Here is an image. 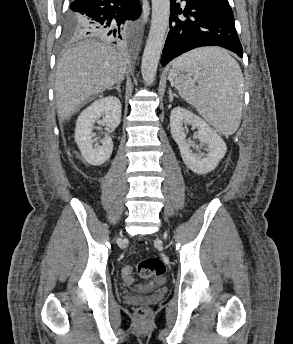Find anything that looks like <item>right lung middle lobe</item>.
I'll return each instance as SVG.
<instances>
[{
  "mask_svg": "<svg viewBox=\"0 0 293 344\" xmlns=\"http://www.w3.org/2000/svg\"><path fill=\"white\" fill-rule=\"evenodd\" d=\"M85 22V17L78 13L68 12L65 27L63 30V41H71L81 38L80 29Z\"/></svg>",
  "mask_w": 293,
  "mask_h": 344,
  "instance_id": "dd1d6c3e",
  "label": "right lung middle lobe"
}]
</instances>
